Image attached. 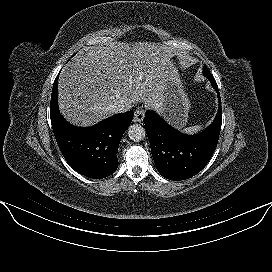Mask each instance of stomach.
Returning <instances> with one entry per match:
<instances>
[{"label":"stomach","instance_id":"stomach-1","mask_svg":"<svg viewBox=\"0 0 272 272\" xmlns=\"http://www.w3.org/2000/svg\"><path fill=\"white\" fill-rule=\"evenodd\" d=\"M163 93L159 112L175 128H183L188 119L190 101L172 61L165 68Z\"/></svg>","mask_w":272,"mask_h":272}]
</instances>
